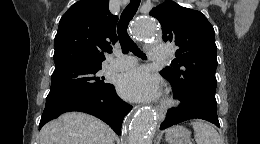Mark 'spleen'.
Returning a JSON list of instances; mask_svg holds the SVG:
<instances>
[{
	"label": "spleen",
	"instance_id": "obj_1",
	"mask_svg": "<svg viewBox=\"0 0 260 144\" xmlns=\"http://www.w3.org/2000/svg\"><path fill=\"white\" fill-rule=\"evenodd\" d=\"M191 125L195 132V141L197 144H223L218 132L208 123L193 121Z\"/></svg>",
	"mask_w": 260,
	"mask_h": 144
}]
</instances>
